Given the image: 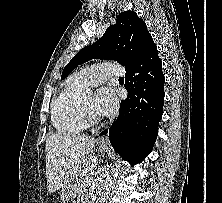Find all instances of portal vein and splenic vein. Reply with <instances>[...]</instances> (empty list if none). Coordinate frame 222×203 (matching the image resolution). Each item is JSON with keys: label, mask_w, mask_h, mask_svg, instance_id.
<instances>
[{"label": "portal vein and splenic vein", "mask_w": 222, "mask_h": 203, "mask_svg": "<svg viewBox=\"0 0 222 203\" xmlns=\"http://www.w3.org/2000/svg\"><path fill=\"white\" fill-rule=\"evenodd\" d=\"M91 184V180L88 181L87 186Z\"/></svg>", "instance_id": "portal-vein-and-splenic-vein-1"}]
</instances>
